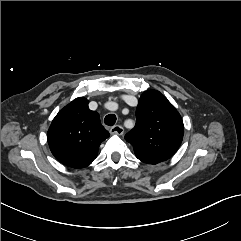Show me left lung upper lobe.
Returning a JSON list of instances; mask_svg holds the SVG:
<instances>
[{
	"instance_id": "obj_1",
	"label": "left lung upper lobe",
	"mask_w": 241,
	"mask_h": 241,
	"mask_svg": "<svg viewBox=\"0 0 241 241\" xmlns=\"http://www.w3.org/2000/svg\"><path fill=\"white\" fill-rule=\"evenodd\" d=\"M184 125L178 111L157 90L142 94L136 109V125L125 139L136 157L157 164L172 157L183 139Z\"/></svg>"
}]
</instances>
